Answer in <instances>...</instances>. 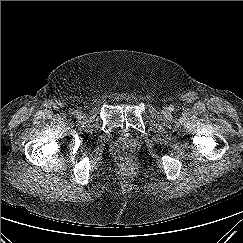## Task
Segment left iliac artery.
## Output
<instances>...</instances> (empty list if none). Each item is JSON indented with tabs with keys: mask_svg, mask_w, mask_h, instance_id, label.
<instances>
[{
	"mask_svg": "<svg viewBox=\"0 0 243 243\" xmlns=\"http://www.w3.org/2000/svg\"><path fill=\"white\" fill-rule=\"evenodd\" d=\"M169 110H170V111H174V106H173V105H170V106H169Z\"/></svg>",
	"mask_w": 243,
	"mask_h": 243,
	"instance_id": "obj_1",
	"label": "left iliac artery"
}]
</instances>
